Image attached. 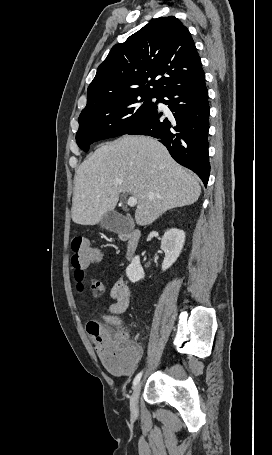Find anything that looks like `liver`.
I'll list each match as a JSON object with an SVG mask.
<instances>
[{"label": "liver", "instance_id": "6515ba94", "mask_svg": "<svg viewBox=\"0 0 272 455\" xmlns=\"http://www.w3.org/2000/svg\"><path fill=\"white\" fill-rule=\"evenodd\" d=\"M125 192L137 198L135 220L145 226L169 209L195 203L201 187L159 141L125 135L101 145L77 169L72 220L99 223Z\"/></svg>", "mask_w": 272, "mask_h": 455}]
</instances>
